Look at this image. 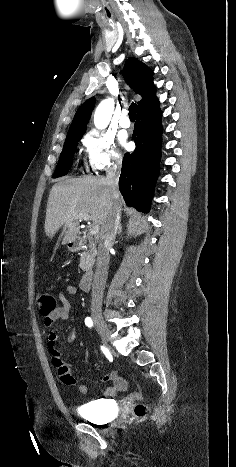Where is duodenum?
I'll use <instances>...</instances> for the list:
<instances>
[{
    "instance_id": "obj_1",
    "label": "duodenum",
    "mask_w": 236,
    "mask_h": 467,
    "mask_svg": "<svg viewBox=\"0 0 236 467\" xmlns=\"http://www.w3.org/2000/svg\"><path fill=\"white\" fill-rule=\"evenodd\" d=\"M84 245V240L81 237L70 240L69 247L72 251H80ZM93 283V272L87 270L80 279V288L83 292H89Z\"/></svg>"
}]
</instances>
